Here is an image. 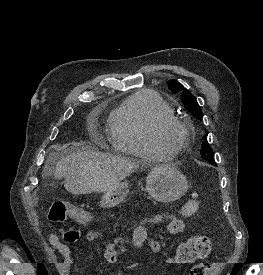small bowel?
Masks as SVG:
<instances>
[{"label": "small bowel", "instance_id": "obj_1", "mask_svg": "<svg viewBox=\"0 0 263 275\" xmlns=\"http://www.w3.org/2000/svg\"><path fill=\"white\" fill-rule=\"evenodd\" d=\"M185 228V223L178 218L171 219L166 230L170 234H178L182 232ZM100 238V232L97 230H90L85 234L80 233L76 230H67L63 232L62 239L53 232H49L48 241L49 244L61 255L63 261L61 262V267L68 269L72 263L73 259L71 256V250L68 244L76 243L79 241L92 242ZM147 245L148 248L156 254L162 253L161 244L149 237L148 228L146 224L138 225L130 237H118L112 242H110L104 250V259L109 264H114L119 261L120 257L131 248H141ZM165 263L172 264L177 263L175 258L166 257ZM163 275H166L164 272Z\"/></svg>", "mask_w": 263, "mask_h": 275}]
</instances>
